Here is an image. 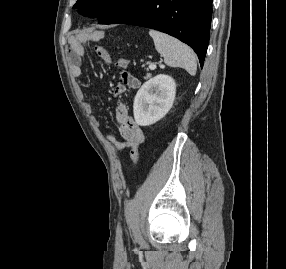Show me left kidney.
Segmentation results:
<instances>
[{"label": "left kidney", "instance_id": "obj_1", "mask_svg": "<svg viewBox=\"0 0 286 269\" xmlns=\"http://www.w3.org/2000/svg\"><path fill=\"white\" fill-rule=\"evenodd\" d=\"M175 95L176 83L168 75L160 74L146 81L134 99L135 122L149 126L162 119L172 108Z\"/></svg>", "mask_w": 286, "mask_h": 269}]
</instances>
